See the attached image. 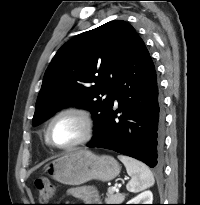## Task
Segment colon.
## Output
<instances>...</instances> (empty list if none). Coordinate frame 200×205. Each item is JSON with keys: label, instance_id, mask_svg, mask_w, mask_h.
Returning a JSON list of instances; mask_svg holds the SVG:
<instances>
[{"label": "colon", "instance_id": "colon-1", "mask_svg": "<svg viewBox=\"0 0 200 205\" xmlns=\"http://www.w3.org/2000/svg\"><path fill=\"white\" fill-rule=\"evenodd\" d=\"M38 198L42 203L51 201L56 195L55 186L47 178H39L35 181ZM49 205V204H41Z\"/></svg>", "mask_w": 200, "mask_h": 205}]
</instances>
